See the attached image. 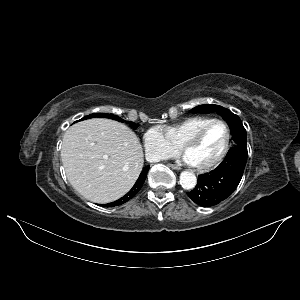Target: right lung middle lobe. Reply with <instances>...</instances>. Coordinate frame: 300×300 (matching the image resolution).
<instances>
[{
    "label": "right lung middle lobe",
    "mask_w": 300,
    "mask_h": 300,
    "mask_svg": "<svg viewBox=\"0 0 300 300\" xmlns=\"http://www.w3.org/2000/svg\"><path fill=\"white\" fill-rule=\"evenodd\" d=\"M93 117H103V118H110V119H114L117 120L119 122H123V120L121 118H119L118 116L115 115H111V114H105V113H94L88 116L83 117L81 120L83 119H88V118H93ZM130 124V126L137 128L138 125L137 124H133L132 122H127Z\"/></svg>",
    "instance_id": "1"
}]
</instances>
